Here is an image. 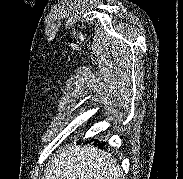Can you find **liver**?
Segmentation results:
<instances>
[{"instance_id": "obj_1", "label": "liver", "mask_w": 183, "mask_h": 179, "mask_svg": "<svg viewBox=\"0 0 183 179\" xmlns=\"http://www.w3.org/2000/svg\"><path fill=\"white\" fill-rule=\"evenodd\" d=\"M42 179H120V170L110 153L73 145L54 155Z\"/></svg>"}]
</instances>
